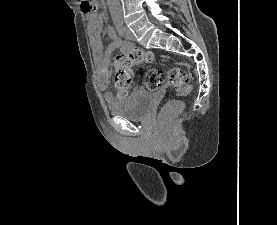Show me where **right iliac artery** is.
Segmentation results:
<instances>
[{"label":"right iliac artery","instance_id":"82829eb1","mask_svg":"<svg viewBox=\"0 0 277 225\" xmlns=\"http://www.w3.org/2000/svg\"><path fill=\"white\" fill-rule=\"evenodd\" d=\"M116 29L120 36L125 37L124 35V29H123V22L121 20H117L115 22Z\"/></svg>","mask_w":277,"mask_h":225}]
</instances>
